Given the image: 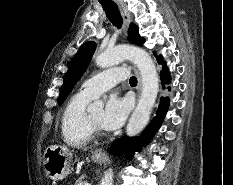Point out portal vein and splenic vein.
Listing matches in <instances>:
<instances>
[{"label": "portal vein and splenic vein", "instance_id": "18ae733b", "mask_svg": "<svg viewBox=\"0 0 233 185\" xmlns=\"http://www.w3.org/2000/svg\"><path fill=\"white\" fill-rule=\"evenodd\" d=\"M84 185H90L89 183H85Z\"/></svg>", "mask_w": 233, "mask_h": 185}]
</instances>
